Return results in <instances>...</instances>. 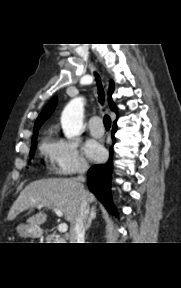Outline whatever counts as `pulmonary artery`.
<instances>
[{"mask_svg":"<svg viewBox=\"0 0 181 288\" xmlns=\"http://www.w3.org/2000/svg\"><path fill=\"white\" fill-rule=\"evenodd\" d=\"M90 133L95 137H100L104 133L103 124L99 116H94L89 122Z\"/></svg>","mask_w":181,"mask_h":288,"instance_id":"1","label":"pulmonary artery"}]
</instances>
